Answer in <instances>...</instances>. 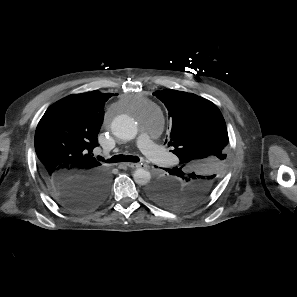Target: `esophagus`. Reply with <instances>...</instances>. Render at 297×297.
Here are the masks:
<instances>
[{
  "label": "esophagus",
  "instance_id": "34e87169",
  "mask_svg": "<svg viewBox=\"0 0 297 297\" xmlns=\"http://www.w3.org/2000/svg\"><path fill=\"white\" fill-rule=\"evenodd\" d=\"M124 165L127 167H130V168H139L142 166V164H140V163H131V162L125 163Z\"/></svg>",
  "mask_w": 297,
  "mask_h": 297
}]
</instances>
